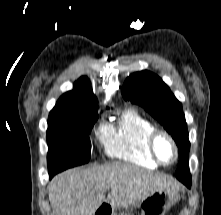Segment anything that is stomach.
<instances>
[{"label": "stomach", "instance_id": "stomach-1", "mask_svg": "<svg viewBox=\"0 0 221 215\" xmlns=\"http://www.w3.org/2000/svg\"><path fill=\"white\" fill-rule=\"evenodd\" d=\"M179 198L178 190H157L136 204L117 208L113 215H165Z\"/></svg>", "mask_w": 221, "mask_h": 215}]
</instances>
